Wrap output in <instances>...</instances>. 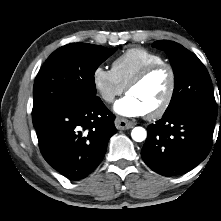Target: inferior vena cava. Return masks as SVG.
<instances>
[{"label":"inferior vena cava","instance_id":"1","mask_svg":"<svg viewBox=\"0 0 221 221\" xmlns=\"http://www.w3.org/2000/svg\"><path fill=\"white\" fill-rule=\"evenodd\" d=\"M113 99H114V97H113V96H110V97H108L106 100L109 101V102H112Z\"/></svg>","mask_w":221,"mask_h":221}]
</instances>
